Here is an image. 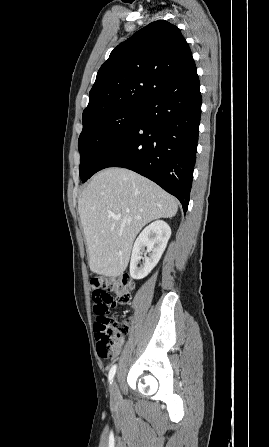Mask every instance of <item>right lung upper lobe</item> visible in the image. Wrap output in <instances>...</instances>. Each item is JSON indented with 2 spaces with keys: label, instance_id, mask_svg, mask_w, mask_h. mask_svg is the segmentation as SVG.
<instances>
[{
  "label": "right lung upper lobe",
  "instance_id": "right-lung-upper-lobe-1",
  "mask_svg": "<svg viewBox=\"0 0 269 447\" xmlns=\"http://www.w3.org/2000/svg\"><path fill=\"white\" fill-rule=\"evenodd\" d=\"M194 63L180 30L159 20L119 44L99 69L83 123L124 106L143 103L180 78Z\"/></svg>",
  "mask_w": 269,
  "mask_h": 447
}]
</instances>
